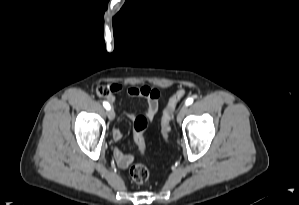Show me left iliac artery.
<instances>
[{"label": "left iliac artery", "mask_w": 299, "mask_h": 205, "mask_svg": "<svg viewBox=\"0 0 299 205\" xmlns=\"http://www.w3.org/2000/svg\"><path fill=\"white\" fill-rule=\"evenodd\" d=\"M193 103V98H188L187 100H186V102H185V105L186 106H189V105H191Z\"/></svg>", "instance_id": "obj_1"}]
</instances>
